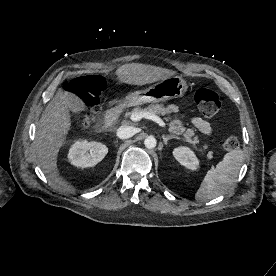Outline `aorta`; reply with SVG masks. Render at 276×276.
Returning <instances> with one entry per match:
<instances>
[{"label":"aorta","instance_id":"762f6f07","mask_svg":"<svg viewBox=\"0 0 276 276\" xmlns=\"http://www.w3.org/2000/svg\"><path fill=\"white\" fill-rule=\"evenodd\" d=\"M157 141L153 136H148L145 140H144V145L146 148L148 149H153L156 147Z\"/></svg>","mask_w":276,"mask_h":276}]
</instances>
